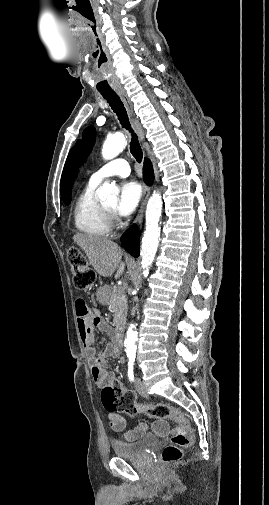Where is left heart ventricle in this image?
I'll use <instances>...</instances> for the list:
<instances>
[{
  "instance_id": "obj_1",
  "label": "left heart ventricle",
  "mask_w": 269,
  "mask_h": 505,
  "mask_svg": "<svg viewBox=\"0 0 269 505\" xmlns=\"http://www.w3.org/2000/svg\"><path fill=\"white\" fill-rule=\"evenodd\" d=\"M106 207L112 210L115 207V202L108 204Z\"/></svg>"
}]
</instances>
